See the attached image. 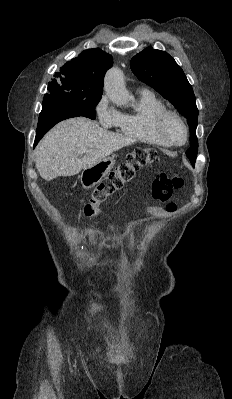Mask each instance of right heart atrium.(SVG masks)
<instances>
[{"label":"right heart atrium","mask_w":232,"mask_h":399,"mask_svg":"<svg viewBox=\"0 0 232 399\" xmlns=\"http://www.w3.org/2000/svg\"><path fill=\"white\" fill-rule=\"evenodd\" d=\"M96 115L100 125L105 128L116 126L120 113L107 103V96L96 106Z\"/></svg>","instance_id":"d8ad5b80"}]
</instances>
